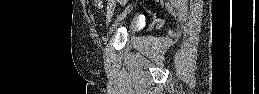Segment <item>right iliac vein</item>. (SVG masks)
I'll list each match as a JSON object with an SVG mask.
<instances>
[{"label":"right iliac vein","instance_id":"right-iliac-vein-1","mask_svg":"<svg viewBox=\"0 0 259 94\" xmlns=\"http://www.w3.org/2000/svg\"><path fill=\"white\" fill-rule=\"evenodd\" d=\"M113 4H111V6H110V9H109V15H108V22L110 21V17L112 16V12H113Z\"/></svg>","mask_w":259,"mask_h":94}]
</instances>
